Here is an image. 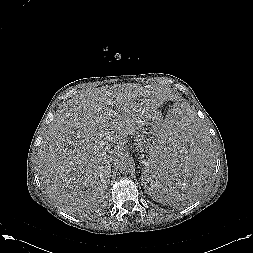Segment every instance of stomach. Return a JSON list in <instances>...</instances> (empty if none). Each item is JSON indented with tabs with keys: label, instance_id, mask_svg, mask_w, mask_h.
Wrapping results in <instances>:
<instances>
[{
	"label": "stomach",
	"instance_id": "0dacf381",
	"mask_svg": "<svg viewBox=\"0 0 253 253\" xmlns=\"http://www.w3.org/2000/svg\"><path fill=\"white\" fill-rule=\"evenodd\" d=\"M162 123V115L159 112L154 113L143 125L135 139L136 148L141 152H146L147 156L152 151L154 141L161 133Z\"/></svg>",
	"mask_w": 253,
	"mask_h": 253
}]
</instances>
